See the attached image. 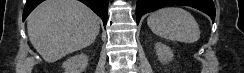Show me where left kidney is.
Returning a JSON list of instances; mask_svg holds the SVG:
<instances>
[{
  "label": "left kidney",
  "mask_w": 244,
  "mask_h": 73,
  "mask_svg": "<svg viewBox=\"0 0 244 73\" xmlns=\"http://www.w3.org/2000/svg\"><path fill=\"white\" fill-rule=\"evenodd\" d=\"M156 55L161 63H168L172 61L174 54L173 50L167 45L157 42L155 43Z\"/></svg>",
  "instance_id": "left-kidney-1"
}]
</instances>
